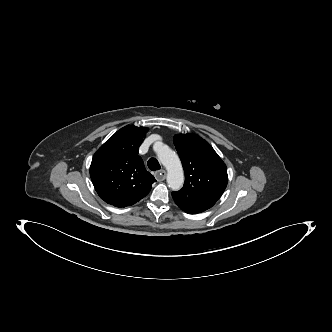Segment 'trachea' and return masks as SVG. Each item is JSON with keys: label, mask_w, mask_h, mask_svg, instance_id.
I'll use <instances>...</instances> for the list:
<instances>
[{"label": "trachea", "mask_w": 332, "mask_h": 332, "mask_svg": "<svg viewBox=\"0 0 332 332\" xmlns=\"http://www.w3.org/2000/svg\"><path fill=\"white\" fill-rule=\"evenodd\" d=\"M147 165L151 171H156L161 169V166L156 158H150L147 162Z\"/></svg>", "instance_id": "3493384b"}]
</instances>
